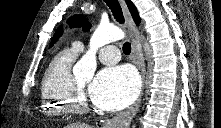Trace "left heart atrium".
I'll return each mask as SVG.
<instances>
[{
	"label": "left heart atrium",
	"instance_id": "left-heart-atrium-1",
	"mask_svg": "<svg viewBox=\"0 0 221 128\" xmlns=\"http://www.w3.org/2000/svg\"><path fill=\"white\" fill-rule=\"evenodd\" d=\"M139 87V78L131 68L108 67L96 75L89 88V97L97 107L115 111L130 105Z\"/></svg>",
	"mask_w": 221,
	"mask_h": 128
}]
</instances>
